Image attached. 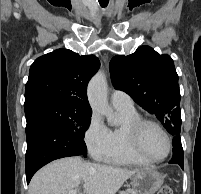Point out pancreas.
Segmentation results:
<instances>
[{
    "label": "pancreas",
    "mask_w": 201,
    "mask_h": 194,
    "mask_svg": "<svg viewBox=\"0 0 201 194\" xmlns=\"http://www.w3.org/2000/svg\"><path fill=\"white\" fill-rule=\"evenodd\" d=\"M122 194H130L129 192H123ZM132 194H134V193H132Z\"/></svg>",
    "instance_id": "obj_1"
}]
</instances>
